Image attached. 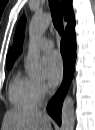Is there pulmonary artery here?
Returning <instances> with one entry per match:
<instances>
[{
  "instance_id": "e3ab8cb5",
  "label": "pulmonary artery",
  "mask_w": 95,
  "mask_h": 130,
  "mask_svg": "<svg viewBox=\"0 0 95 130\" xmlns=\"http://www.w3.org/2000/svg\"><path fill=\"white\" fill-rule=\"evenodd\" d=\"M54 46L53 42L48 39V38H41L38 42H37V48L39 50H50L52 49Z\"/></svg>"
}]
</instances>
